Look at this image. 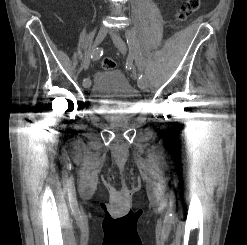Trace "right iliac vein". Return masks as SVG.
Segmentation results:
<instances>
[{
  "instance_id": "1",
  "label": "right iliac vein",
  "mask_w": 247,
  "mask_h": 245,
  "mask_svg": "<svg viewBox=\"0 0 247 245\" xmlns=\"http://www.w3.org/2000/svg\"><path fill=\"white\" fill-rule=\"evenodd\" d=\"M107 33H108V30L106 28H104V27L100 28V30H99V32H98V34L96 36V39L94 41L93 49H95L97 46H99L101 44V42L105 39ZM91 61L95 63V62L98 61V58L97 57H92ZM90 85H91V80L89 78H85L83 80L84 88H89Z\"/></svg>"
}]
</instances>
